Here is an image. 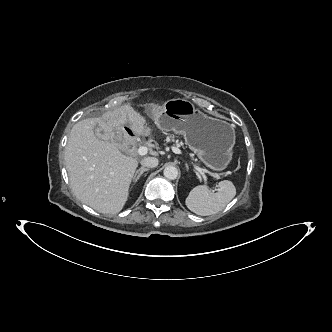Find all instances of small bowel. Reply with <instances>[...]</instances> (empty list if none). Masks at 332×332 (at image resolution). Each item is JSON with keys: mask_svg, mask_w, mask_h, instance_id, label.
I'll use <instances>...</instances> for the list:
<instances>
[{"mask_svg": "<svg viewBox=\"0 0 332 332\" xmlns=\"http://www.w3.org/2000/svg\"><path fill=\"white\" fill-rule=\"evenodd\" d=\"M149 114L151 116H158L160 114V107L158 105H151L149 107ZM133 129L136 132V134L140 135V136H145V135H149L151 129L149 127H147L145 125V122L143 120L137 121L133 124Z\"/></svg>", "mask_w": 332, "mask_h": 332, "instance_id": "c3829d8e", "label": "small bowel"}]
</instances>
